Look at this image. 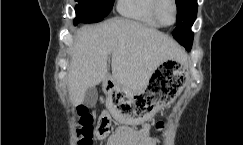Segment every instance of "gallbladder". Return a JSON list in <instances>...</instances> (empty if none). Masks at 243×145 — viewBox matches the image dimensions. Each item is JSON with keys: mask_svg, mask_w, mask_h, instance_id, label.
<instances>
[{"mask_svg": "<svg viewBox=\"0 0 243 145\" xmlns=\"http://www.w3.org/2000/svg\"><path fill=\"white\" fill-rule=\"evenodd\" d=\"M98 93L95 87H89L85 92L84 104L93 107L97 101Z\"/></svg>", "mask_w": 243, "mask_h": 145, "instance_id": "obj_1", "label": "gallbladder"}]
</instances>
